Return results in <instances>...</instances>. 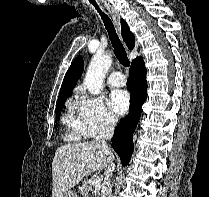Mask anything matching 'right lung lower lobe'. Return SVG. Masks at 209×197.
Returning <instances> with one entry per match:
<instances>
[{
  "label": "right lung lower lobe",
  "mask_w": 209,
  "mask_h": 197,
  "mask_svg": "<svg viewBox=\"0 0 209 197\" xmlns=\"http://www.w3.org/2000/svg\"><path fill=\"white\" fill-rule=\"evenodd\" d=\"M127 87L131 92L130 112L122 119L114 131L112 147L119 155L122 165L129 164L134 150L132 136L147 98L146 68L142 58L134 61L129 70Z\"/></svg>",
  "instance_id": "right-lung-lower-lobe-1"
}]
</instances>
